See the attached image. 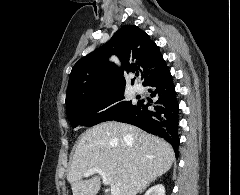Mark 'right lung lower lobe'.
Segmentation results:
<instances>
[{
  "label": "right lung lower lobe",
  "mask_w": 240,
  "mask_h": 195,
  "mask_svg": "<svg viewBox=\"0 0 240 195\" xmlns=\"http://www.w3.org/2000/svg\"><path fill=\"white\" fill-rule=\"evenodd\" d=\"M154 101L140 100L114 120L135 125L168 141L178 155V101L169 69L146 85Z\"/></svg>",
  "instance_id": "98d812e1"
}]
</instances>
